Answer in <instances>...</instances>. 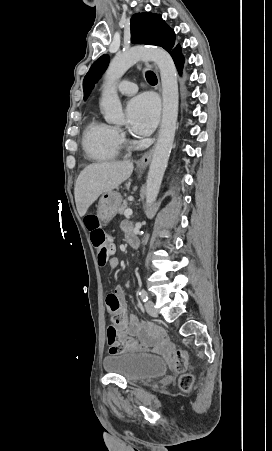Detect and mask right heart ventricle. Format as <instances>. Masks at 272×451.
<instances>
[{"label": "right heart ventricle", "mask_w": 272, "mask_h": 451, "mask_svg": "<svg viewBox=\"0 0 272 451\" xmlns=\"http://www.w3.org/2000/svg\"><path fill=\"white\" fill-rule=\"evenodd\" d=\"M84 147L88 156L94 160L113 158L118 148V137L114 128L94 120L85 132Z\"/></svg>", "instance_id": "1"}]
</instances>
